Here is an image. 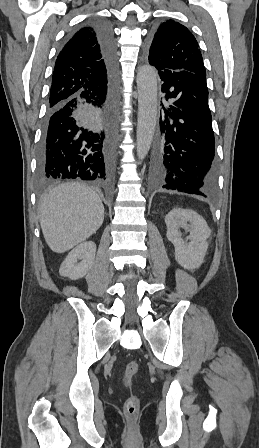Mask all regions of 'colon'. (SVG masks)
<instances>
[{
  "label": "colon",
  "instance_id": "colon-1",
  "mask_svg": "<svg viewBox=\"0 0 259 448\" xmlns=\"http://www.w3.org/2000/svg\"><path fill=\"white\" fill-rule=\"evenodd\" d=\"M138 370L139 364L136 361H130L126 365L124 370V380L126 382H130V380L134 377ZM139 406L140 401L137 396H131L126 400L124 404V410L126 417L130 422H133L136 419L139 412Z\"/></svg>",
  "mask_w": 259,
  "mask_h": 448
}]
</instances>
